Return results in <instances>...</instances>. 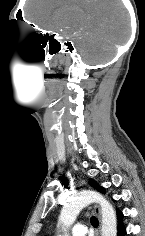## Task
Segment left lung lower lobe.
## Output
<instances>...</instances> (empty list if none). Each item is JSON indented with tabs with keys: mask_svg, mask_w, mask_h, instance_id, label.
<instances>
[{
	"mask_svg": "<svg viewBox=\"0 0 145 236\" xmlns=\"http://www.w3.org/2000/svg\"><path fill=\"white\" fill-rule=\"evenodd\" d=\"M117 217H118V233H117V236H125L126 235V227L122 223V219H123L124 215L118 209H117Z\"/></svg>",
	"mask_w": 145,
	"mask_h": 236,
	"instance_id": "left-lung-lower-lobe-1",
	"label": "left lung lower lobe"
}]
</instances>
